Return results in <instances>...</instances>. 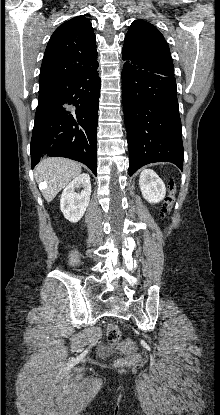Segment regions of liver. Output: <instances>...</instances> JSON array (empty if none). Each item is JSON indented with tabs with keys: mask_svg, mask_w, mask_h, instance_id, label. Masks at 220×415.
<instances>
[{
	"mask_svg": "<svg viewBox=\"0 0 220 415\" xmlns=\"http://www.w3.org/2000/svg\"><path fill=\"white\" fill-rule=\"evenodd\" d=\"M81 173V165L64 158H47L35 168V178L44 184L43 196L51 202L67 184Z\"/></svg>",
	"mask_w": 220,
	"mask_h": 415,
	"instance_id": "liver-1",
	"label": "liver"
}]
</instances>
